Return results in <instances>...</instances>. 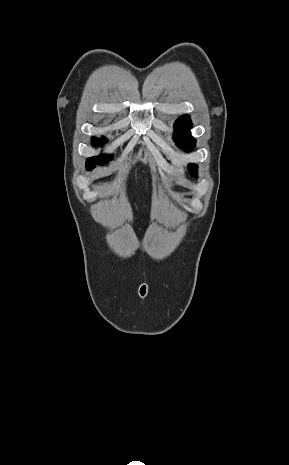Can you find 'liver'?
Here are the masks:
<instances>
[{"label":"liver","instance_id":"6515ba94","mask_svg":"<svg viewBox=\"0 0 289 465\" xmlns=\"http://www.w3.org/2000/svg\"><path fill=\"white\" fill-rule=\"evenodd\" d=\"M120 185V181H118V183L115 184L116 187H119Z\"/></svg>","mask_w":289,"mask_h":465}]
</instances>
